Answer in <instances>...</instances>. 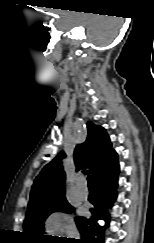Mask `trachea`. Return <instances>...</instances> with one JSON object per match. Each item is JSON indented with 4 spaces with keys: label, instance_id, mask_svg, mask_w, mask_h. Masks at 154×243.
Here are the masks:
<instances>
[{
    "label": "trachea",
    "instance_id": "1",
    "mask_svg": "<svg viewBox=\"0 0 154 243\" xmlns=\"http://www.w3.org/2000/svg\"><path fill=\"white\" fill-rule=\"evenodd\" d=\"M87 181H88V187L92 188V182H91V177L90 176L87 177Z\"/></svg>",
    "mask_w": 154,
    "mask_h": 243
}]
</instances>
